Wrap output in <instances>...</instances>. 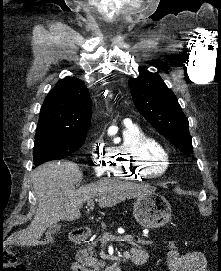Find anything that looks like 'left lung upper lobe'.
<instances>
[{
  "label": "left lung upper lobe",
  "mask_w": 221,
  "mask_h": 271,
  "mask_svg": "<svg viewBox=\"0 0 221 271\" xmlns=\"http://www.w3.org/2000/svg\"><path fill=\"white\" fill-rule=\"evenodd\" d=\"M128 83L138 111L183 153H192L189 122L160 75L145 71Z\"/></svg>",
  "instance_id": "left-lung-upper-lobe-1"
}]
</instances>
